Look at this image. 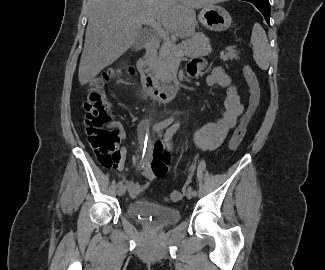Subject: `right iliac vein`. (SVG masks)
<instances>
[{"label":"right iliac vein","instance_id":"63e3f726","mask_svg":"<svg viewBox=\"0 0 325 270\" xmlns=\"http://www.w3.org/2000/svg\"><path fill=\"white\" fill-rule=\"evenodd\" d=\"M125 192H126V187H125V185H121V186L118 187L117 193H118L119 196L124 195Z\"/></svg>","mask_w":325,"mask_h":270}]
</instances>
